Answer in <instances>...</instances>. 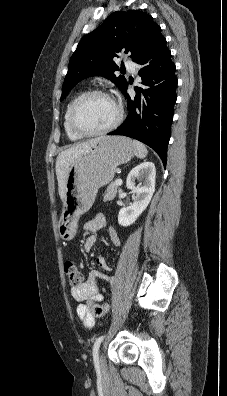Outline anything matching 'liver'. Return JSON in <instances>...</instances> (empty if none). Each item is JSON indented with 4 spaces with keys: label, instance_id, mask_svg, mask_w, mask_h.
Here are the masks:
<instances>
[{
    "label": "liver",
    "instance_id": "liver-1",
    "mask_svg": "<svg viewBox=\"0 0 227 396\" xmlns=\"http://www.w3.org/2000/svg\"><path fill=\"white\" fill-rule=\"evenodd\" d=\"M102 138L103 137H99L76 144L75 146L62 151L58 155L56 160V175L58 180L59 196L62 201H64L65 198L66 178L70 165Z\"/></svg>",
    "mask_w": 227,
    "mask_h": 396
}]
</instances>
